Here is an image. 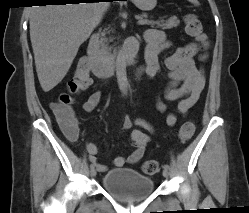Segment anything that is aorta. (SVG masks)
<instances>
[{"instance_id": "aorta-1", "label": "aorta", "mask_w": 249, "mask_h": 213, "mask_svg": "<svg viewBox=\"0 0 249 213\" xmlns=\"http://www.w3.org/2000/svg\"><path fill=\"white\" fill-rule=\"evenodd\" d=\"M116 76L119 89L123 94L128 92V79L126 71V62L123 54H119L116 60Z\"/></svg>"}]
</instances>
